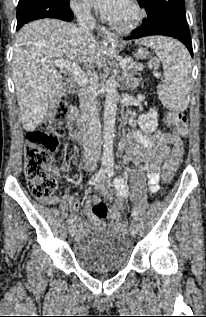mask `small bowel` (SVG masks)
Instances as JSON below:
<instances>
[{
	"instance_id": "small-bowel-1",
	"label": "small bowel",
	"mask_w": 206,
	"mask_h": 317,
	"mask_svg": "<svg viewBox=\"0 0 206 317\" xmlns=\"http://www.w3.org/2000/svg\"><path fill=\"white\" fill-rule=\"evenodd\" d=\"M128 145L131 152L141 161L145 163L143 169L146 171L147 184L150 193H155L158 190L159 182V166L168 158L171 146L181 145V139L179 136L170 133H156L154 135H148L138 130H134L128 135ZM54 173L57 172L54 170ZM125 177L122 176L117 179L113 185L106 186L99 182L95 185V189L107 198H114L113 204L109 213V218L112 224L120 218L121 213L124 210V202L128 198V190L124 185ZM99 198L94 197L91 202L96 203ZM91 202L85 205L84 213L88 218V224L81 222L79 218H75L77 226L78 236L82 237L86 235L90 228H103L104 222L97 218L91 208ZM49 205H57L59 199L54 197L46 201ZM68 207L71 211L77 212L79 209V203L71 197L68 201Z\"/></svg>"
}]
</instances>
